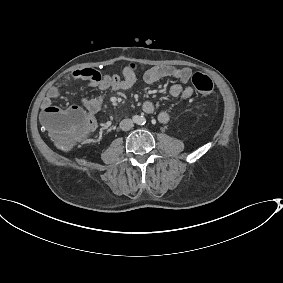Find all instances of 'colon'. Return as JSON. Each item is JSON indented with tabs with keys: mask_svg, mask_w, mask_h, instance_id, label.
Listing matches in <instances>:
<instances>
[{
	"mask_svg": "<svg viewBox=\"0 0 283 283\" xmlns=\"http://www.w3.org/2000/svg\"><path fill=\"white\" fill-rule=\"evenodd\" d=\"M131 68L134 70L133 65ZM192 84L202 94H209L213 90L212 80L202 73L192 76ZM41 122L53 139L64 148L81 143L93 130L92 119L77 107L66 110L48 108L42 113Z\"/></svg>",
	"mask_w": 283,
	"mask_h": 283,
	"instance_id": "5ec220e1",
	"label": "colon"
}]
</instances>
